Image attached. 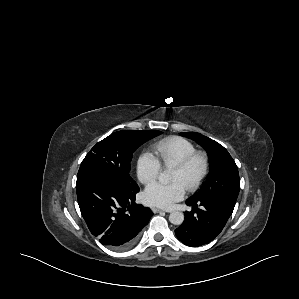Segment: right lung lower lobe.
<instances>
[{"instance_id": "obj_1", "label": "right lung lower lobe", "mask_w": 299, "mask_h": 299, "mask_svg": "<svg viewBox=\"0 0 299 299\" xmlns=\"http://www.w3.org/2000/svg\"><path fill=\"white\" fill-rule=\"evenodd\" d=\"M77 199L82 216L103 245L116 251L131 248L153 215L135 202L137 189H127L107 176L89 173L77 177Z\"/></svg>"}]
</instances>
